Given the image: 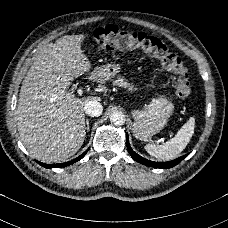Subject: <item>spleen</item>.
Returning a JSON list of instances; mask_svg holds the SVG:
<instances>
[{"label": "spleen", "instance_id": "spleen-1", "mask_svg": "<svg viewBox=\"0 0 228 228\" xmlns=\"http://www.w3.org/2000/svg\"><path fill=\"white\" fill-rule=\"evenodd\" d=\"M194 125V119H189L172 139L161 144H147L145 150L160 160L175 158L190 141L194 133Z\"/></svg>", "mask_w": 228, "mask_h": 228}]
</instances>
